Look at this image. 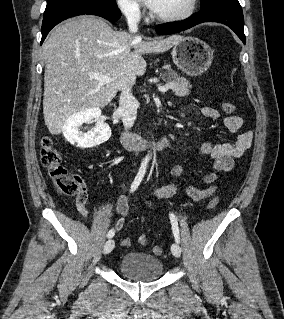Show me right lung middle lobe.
Masks as SVG:
<instances>
[{
	"label": "right lung middle lobe",
	"instance_id": "dd1d6c3e",
	"mask_svg": "<svg viewBox=\"0 0 284 319\" xmlns=\"http://www.w3.org/2000/svg\"><path fill=\"white\" fill-rule=\"evenodd\" d=\"M115 6V0H47L44 16L70 6Z\"/></svg>",
	"mask_w": 284,
	"mask_h": 319
}]
</instances>
